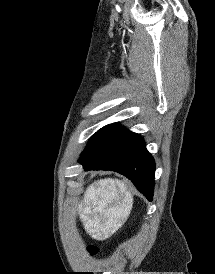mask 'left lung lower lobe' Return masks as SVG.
<instances>
[{
    "mask_svg": "<svg viewBox=\"0 0 215 274\" xmlns=\"http://www.w3.org/2000/svg\"><path fill=\"white\" fill-rule=\"evenodd\" d=\"M79 162L85 171L110 170L125 175L148 200H152L155 162L139 134L120 126Z\"/></svg>",
    "mask_w": 215,
    "mask_h": 274,
    "instance_id": "left-lung-lower-lobe-1",
    "label": "left lung lower lobe"
}]
</instances>
